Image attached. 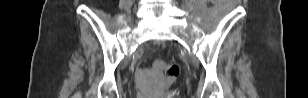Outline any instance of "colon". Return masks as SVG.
I'll return each instance as SVG.
<instances>
[{
    "instance_id": "colon-1",
    "label": "colon",
    "mask_w": 308,
    "mask_h": 98,
    "mask_svg": "<svg viewBox=\"0 0 308 98\" xmlns=\"http://www.w3.org/2000/svg\"><path fill=\"white\" fill-rule=\"evenodd\" d=\"M154 66L165 74L169 85H172L177 80L180 72L178 65L156 61Z\"/></svg>"
}]
</instances>
